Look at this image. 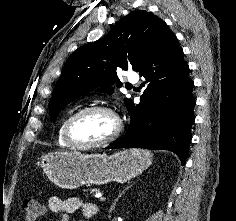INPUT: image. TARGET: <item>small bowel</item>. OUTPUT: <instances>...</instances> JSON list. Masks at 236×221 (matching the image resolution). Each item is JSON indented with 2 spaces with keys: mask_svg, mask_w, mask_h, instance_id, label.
<instances>
[{
  "mask_svg": "<svg viewBox=\"0 0 236 221\" xmlns=\"http://www.w3.org/2000/svg\"><path fill=\"white\" fill-rule=\"evenodd\" d=\"M49 210L58 215L59 221H69V215L78 210L82 211L85 218H92L98 213V207L92 202H84L78 197L61 198L50 197L48 201Z\"/></svg>",
  "mask_w": 236,
  "mask_h": 221,
  "instance_id": "obj_1",
  "label": "small bowel"
}]
</instances>
